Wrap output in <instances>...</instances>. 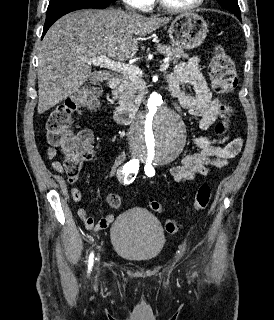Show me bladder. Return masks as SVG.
Segmentation results:
<instances>
[{
	"label": "bladder",
	"instance_id": "1",
	"mask_svg": "<svg viewBox=\"0 0 274 320\" xmlns=\"http://www.w3.org/2000/svg\"><path fill=\"white\" fill-rule=\"evenodd\" d=\"M111 241L115 252L124 259L148 263L160 256L166 239L153 214L142 208H131L112 223Z\"/></svg>",
	"mask_w": 274,
	"mask_h": 320
}]
</instances>
